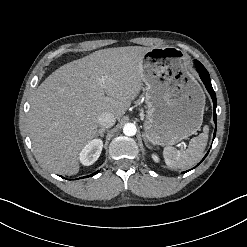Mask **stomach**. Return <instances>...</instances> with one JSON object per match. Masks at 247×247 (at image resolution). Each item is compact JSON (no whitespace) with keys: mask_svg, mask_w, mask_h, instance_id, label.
Segmentation results:
<instances>
[{"mask_svg":"<svg viewBox=\"0 0 247 247\" xmlns=\"http://www.w3.org/2000/svg\"><path fill=\"white\" fill-rule=\"evenodd\" d=\"M147 104L145 139L174 145L195 134L203 122L205 95L175 47H154L142 59Z\"/></svg>","mask_w":247,"mask_h":247,"instance_id":"1","label":"stomach"}]
</instances>
